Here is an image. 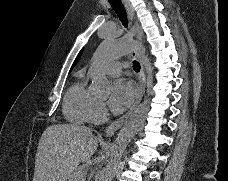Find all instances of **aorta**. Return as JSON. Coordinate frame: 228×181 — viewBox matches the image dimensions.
Returning a JSON list of instances; mask_svg holds the SVG:
<instances>
[{
  "label": "aorta",
  "instance_id": "aorta-1",
  "mask_svg": "<svg viewBox=\"0 0 228 181\" xmlns=\"http://www.w3.org/2000/svg\"><path fill=\"white\" fill-rule=\"evenodd\" d=\"M136 49V44L126 38L119 40L107 38L99 45L94 53L93 63L89 70L92 78L91 89L96 95H108L111 87L103 71V65ZM149 104V100H144L118 133L114 144L113 160L104 169L102 181L113 180L114 161L121 158L132 138L142 128L150 108Z\"/></svg>",
  "mask_w": 228,
  "mask_h": 181
}]
</instances>
